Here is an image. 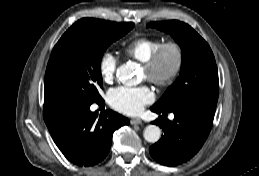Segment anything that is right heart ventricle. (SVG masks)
Returning a JSON list of instances; mask_svg holds the SVG:
<instances>
[{
    "instance_id": "obj_1",
    "label": "right heart ventricle",
    "mask_w": 259,
    "mask_h": 176,
    "mask_svg": "<svg viewBox=\"0 0 259 176\" xmlns=\"http://www.w3.org/2000/svg\"><path fill=\"white\" fill-rule=\"evenodd\" d=\"M162 43L159 37L139 36L125 45L124 52L129 58L144 63Z\"/></svg>"
}]
</instances>
